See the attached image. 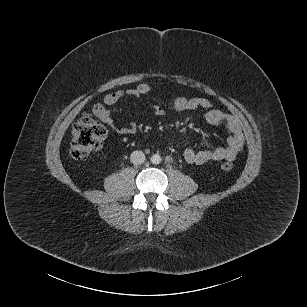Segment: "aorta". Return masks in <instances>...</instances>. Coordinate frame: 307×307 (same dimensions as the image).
I'll use <instances>...</instances> for the list:
<instances>
[{
    "label": "aorta",
    "instance_id": "1",
    "mask_svg": "<svg viewBox=\"0 0 307 307\" xmlns=\"http://www.w3.org/2000/svg\"><path fill=\"white\" fill-rule=\"evenodd\" d=\"M150 160H151L152 164L157 165V164L161 163L162 157L159 154H154V155L151 156Z\"/></svg>",
    "mask_w": 307,
    "mask_h": 307
}]
</instances>
